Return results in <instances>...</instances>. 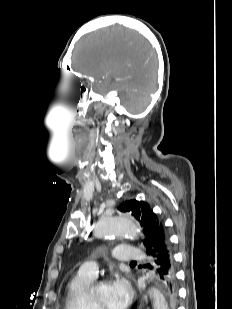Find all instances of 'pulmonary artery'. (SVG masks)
<instances>
[{
  "label": "pulmonary artery",
  "mask_w": 232,
  "mask_h": 309,
  "mask_svg": "<svg viewBox=\"0 0 232 309\" xmlns=\"http://www.w3.org/2000/svg\"><path fill=\"white\" fill-rule=\"evenodd\" d=\"M112 255L115 260L123 263H128L129 261L139 260L145 257V254L142 251L128 245H119L115 247ZM97 269V262L90 260L83 263L78 272L82 275L95 278L97 275Z\"/></svg>",
  "instance_id": "1"
}]
</instances>
